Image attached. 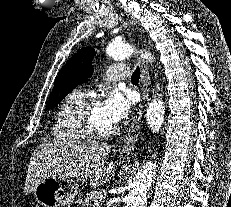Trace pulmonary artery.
I'll return each mask as SVG.
<instances>
[{
    "label": "pulmonary artery",
    "mask_w": 231,
    "mask_h": 207,
    "mask_svg": "<svg viewBox=\"0 0 231 207\" xmlns=\"http://www.w3.org/2000/svg\"><path fill=\"white\" fill-rule=\"evenodd\" d=\"M129 68L123 64H111L105 71L104 76L109 81H118L127 78Z\"/></svg>",
    "instance_id": "e3ab8cb5"
}]
</instances>
